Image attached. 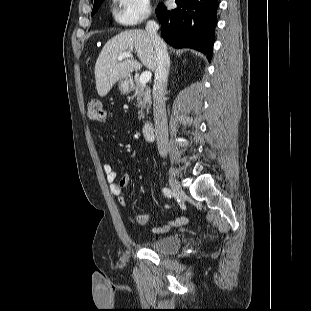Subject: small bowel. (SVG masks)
Returning a JSON list of instances; mask_svg holds the SVG:
<instances>
[{
    "mask_svg": "<svg viewBox=\"0 0 311 311\" xmlns=\"http://www.w3.org/2000/svg\"><path fill=\"white\" fill-rule=\"evenodd\" d=\"M103 172L106 176L108 183L110 184L111 192L117 197L119 204L122 207H125L127 202L125 197L123 196V189L129 184L130 176L124 175L118 180V174L115 170L114 166L105 162L102 165ZM150 220L148 214H138L135 216V221L139 225H146ZM187 220L183 217L177 218L175 220L167 221L164 225L160 227H155L152 229V233L154 234H163L168 232L172 227L182 226L186 224Z\"/></svg>",
    "mask_w": 311,
    "mask_h": 311,
    "instance_id": "1",
    "label": "small bowel"
}]
</instances>
